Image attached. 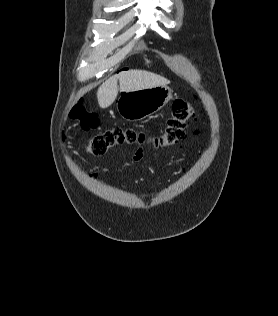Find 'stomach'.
I'll use <instances>...</instances> for the list:
<instances>
[{
	"instance_id": "0dacf381",
	"label": "stomach",
	"mask_w": 278,
	"mask_h": 316,
	"mask_svg": "<svg viewBox=\"0 0 278 316\" xmlns=\"http://www.w3.org/2000/svg\"><path fill=\"white\" fill-rule=\"evenodd\" d=\"M172 98L167 85L123 93L117 102V111L127 120H141L162 109Z\"/></svg>"
}]
</instances>
